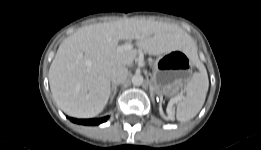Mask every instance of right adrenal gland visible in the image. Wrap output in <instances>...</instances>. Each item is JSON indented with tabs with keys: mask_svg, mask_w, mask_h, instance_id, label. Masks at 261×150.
Here are the masks:
<instances>
[{
	"mask_svg": "<svg viewBox=\"0 0 261 150\" xmlns=\"http://www.w3.org/2000/svg\"><path fill=\"white\" fill-rule=\"evenodd\" d=\"M119 86V84H112L111 87V102L113 100V98L115 97L116 93H117V87Z\"/></svg>",
	"mask_w": 261,
	"mask_h": 150,
	"instance_id": "1",
	"label": "right adrenal gland"
}]
</instances>
